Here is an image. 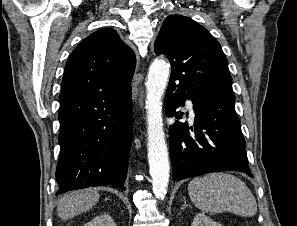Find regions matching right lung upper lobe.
<instances>
[{"label": "right lung upper lobe", "instance_id": "obj_1", "mask_svg": "<svg viewBox=\"0 0 297 226\" xmlns=\"http://www.w3.org/2000/svg\"><path fill=\"white\" fill-rule=\"evenodd\" d=\"M136 59L114 29H100L71 53L62 80L61 101L93 92H121L130 87Z\"/></svg>", "mask_w": 297, "mask_h": 226}]
</instances>
